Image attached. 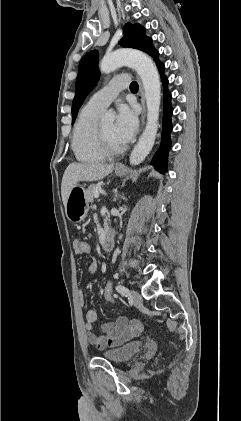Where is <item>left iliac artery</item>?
Wrapping results in <instances>:
<instances>
[{"label":"left iliac artery","instance_id":"1","mask_svg":"<svg viewBox=\"0 0 241 421\" xmlns=\"http://www.w3.org/2000/svg\"><path fill=\"white\" fill-rule=\"evenodd\" d=\"M116 291L124 297H128L130 295L129 290L125 286H122V285H117Z\"/></svg>","mask_w":241,"mask_h":421}]
</instances>
